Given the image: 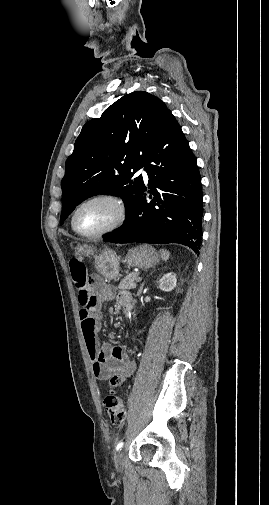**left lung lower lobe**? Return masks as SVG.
<instances>
[{
	"mask_svg": "<svg viewBox=\"0 0 269 505\" xmlns=\"http://www.w3.org/2000/svg\"><path fill=\"white\" fill-rule=\"evenodd\" d=\"M132 213L104 240L114 243H179L198 253L202 235V187L197 161L169 111L152 135ZM147 198H150L149 201Z\"/></svg>",
	"mask_w": 269,
	"mask_h": 505,
	"instance_id": "obj_1",
	"label": "left lung lower lobe"
}]
</instances>
